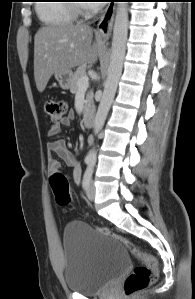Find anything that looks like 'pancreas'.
Wrapping results in <instances>:
<instances>
[{"label":"pancreas","instance_id":"1","mask_svg":"<svg viewBox=\"0 0 195 299\" xmlns=\"http://www.w3.org/2000/svg\"><path fill=\"white\" fill-rule=\"evenodd\" d=\"M86 69H87V66L85 64L81 65L77 68V70L73 74L72 83L70 86V92L72 94L77 93V91L79 89L78 81L81 77L86 76ZM92 103H93V93H92V91H90L86 94V100H85V105H84V114L86 113V111L88 110V108L91 106Z\"/></svg>","mask_w":195,"mask_h":299}]
</instances>
